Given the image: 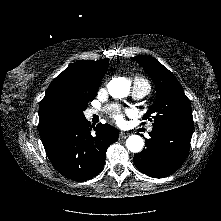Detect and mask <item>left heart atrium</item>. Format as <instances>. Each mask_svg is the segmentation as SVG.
Listing matches in <instances>:
<instances>
[{"label":"left heart atrium","instance_id":"39dd6f15","mask_svg":"<svg viewBox=\"0 0 221 221\" xmlns=\"http://www.w3.org/2000/svg\"><path fill=\"white\" fill-rule=\"evenodd\" d=\"M114 120L117 122V124L122 125L124 124V116L121 113L114 114Z\"/></svg>","mask_w":221,"mask_h":221}]
</instances>
